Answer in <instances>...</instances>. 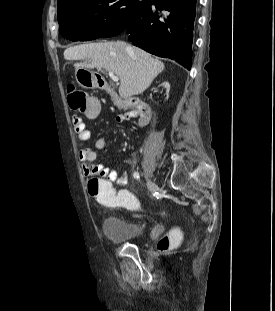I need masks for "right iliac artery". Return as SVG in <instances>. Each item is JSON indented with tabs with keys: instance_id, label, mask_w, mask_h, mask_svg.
Returning a JSON list of instances; mask_svg holds the SVG:
<instances>
[{
	"instance_id": "82829eb1",
	"label": "right iliac artery",
	"mask_w": 275,
	"mask_h": 311,
	"mask_svg": "<svg viewBox=\"0 0 275 311\" xmlns=\"http://www.w3.org/2000/svg\"><path fill=\"white\" fill-rule=\"evenodd\" d=\"M133 176H134L135 179H139L140 178V175H139L138 172H134Z\"/></svg>"
}]
</instances>
